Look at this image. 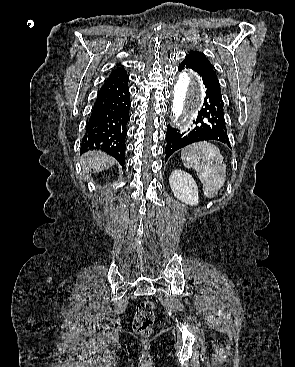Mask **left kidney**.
Segmentation results:
<instances>
[{
  "label": "left kidney",
  "mask_w": 295,
  "mask_h": 367,
  "mask_svg": "<svg viewBox=\"0 0 295 367\" xmlns=\"http://www.w3.org/2000/svg\"><path fill=\"white\" fill-rule=\"evenodd\" d=\"M169 184L178 200L191 206L198 204V187L190 174L174 170L169 177Z\"/></svg>",
  "instance_id": "1"
}]
</instances>
